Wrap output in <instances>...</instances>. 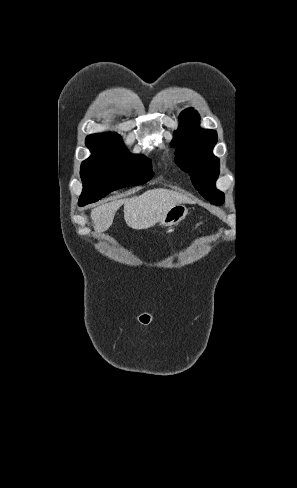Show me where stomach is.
<instances>
[{
	"mask_svg": "<svg viewBox=\"0 0 297 488\" xmlns=\"http://www.w3.org/2000/svg\"><path fill=\"white\" fill-rule=\"evenodd\" d=\"M188 214V208L183 204H177L170 208L158 221L162 226H173L181 222Z\"/></svg>",
	"mask_w": 297,
	"mask_h": 488,
	"instance_id": "obj_1",
	"label": "stomach"
}]
</instances>
